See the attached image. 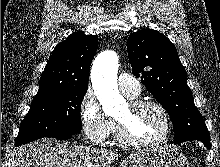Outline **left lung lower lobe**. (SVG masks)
Wrapping results in <instances>:
<instances>
[{
    "label": "left lung lower lobe",
    "instance_id": "0a47b994",
    "mask_svg": "<svg viewBox=\"0 0 220 167\" xmlns=\"http://www.w3.org/2000/svg\"><path fill=\"white\" fill-rule=\"evenodd\" d=\"M194 140L202 142L208 149H210V139H194ZM185 141H190V140H184V141H179V142H175V143L180 144Z\"/></svg>",
    "mask_w": 220,
    "mask_h": 167
}]
</instances>
